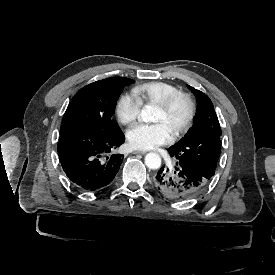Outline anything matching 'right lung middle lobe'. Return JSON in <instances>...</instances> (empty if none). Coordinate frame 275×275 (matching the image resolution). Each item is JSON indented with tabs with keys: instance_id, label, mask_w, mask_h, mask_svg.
Here are the masks:
<instances>
[{
	"instance_id": "obj_1",
	"label": "right lung middle lobe",
	"mask_w": 275,
	"mask_h": 275,
	"mask_svg": "<svg viewBox=\"0 0 275 275\" xmlns=\"http://www.w3.org/2000/svg\"><path fill=\"white\" fill-rule=\"evenodd\" d=\"M131 81L107 78L79 90L67 107L60 131L82 129L103 136L120 131L112 116L122 88Z\"/></svg>"
}]
</instances>
